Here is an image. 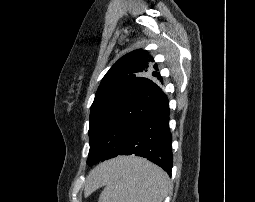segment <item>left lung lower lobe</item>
<instances>
[{"mask_svg":"<svg viewBox=\"0 0 255 202\" xmlns=\"http://www.w3.org/2000/svg\"><path fill=\"white\" fill-rule=\"evenodd\" d=\"M171 141L169 102L166 99L141 122L118 155L145 157L171 176Z\"/></svg>","mask_w":255,"mask_h":202,"instance_id":"left-lung-lower-lobe-1","label":"left lung lower lobe"}]
</instances>
